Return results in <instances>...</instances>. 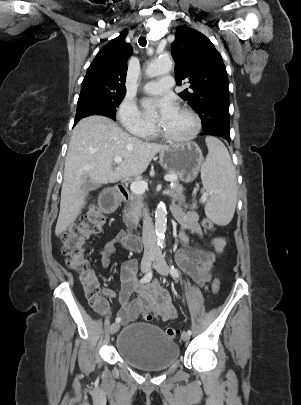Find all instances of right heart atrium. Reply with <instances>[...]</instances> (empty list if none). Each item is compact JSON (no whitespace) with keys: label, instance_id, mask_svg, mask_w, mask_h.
<instances>
[{"label":"right heart atrium","instance_id":"obj_1","mask_svg":"<svg viewBox=\"0 0 301 405\" xmlns=\"http://www.w3.org/2000/svg\"><path fill=\"white\" fill-rule=\"evenodd\" d=\"M117 118L122 127L129 133L145 136L153 129V124L147 121L134 102L124 99L118 107Z\"/></svg>","mask_w":301,"mask_h":405}]
</instances>
